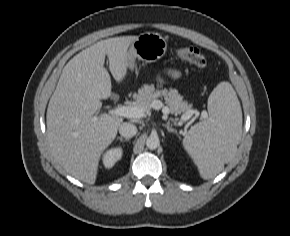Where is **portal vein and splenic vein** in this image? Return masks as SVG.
<instances>
[{"instance_id": "18ae733b", "label": "portal vein and splenic vein", "mask_w": 290, "mask_h": 236, "mask_svg": "<svg viewBox=\"0 0 290 236\" xmlns=\"http://www.w3.org/2000/svg\"><path fill=\"white\" fill-rule=\"evenodd\" d=\"M151 108L155 110H162V113L164 114V117H167L170 113V109L168 106H165L160 100H154L151 103ZM110 114L126 117V118H141L145 116L148 111L141 106H119L109 111ZM197 113V111L191 110L187 112L186 114L182 115L181 121H187L191 118V116ZM203 117H206V113H202Z\"/></svg>"}]
</instances>
